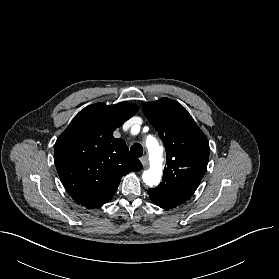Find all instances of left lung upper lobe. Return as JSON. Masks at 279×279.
Instances as JSON below:
<instances>
[{"instance_id": "obj_1", "label": "left lung upper lobe", "mask_w": 279, "mask_h": 279, "mask_svg": "<svg viewBox=\"0 0 279 279\" xmlns=\"http://www.w3.org/2000/svg\"><path fill=\"white\" fill-rule=\"evenodd\" d=\"M143 111L167 152L163 181L149 189V197L182 204L192 196L204 176L209 158L208 140L187 110L174 100L162 98L147 102Z\"/></svg>"}]
</instances>
